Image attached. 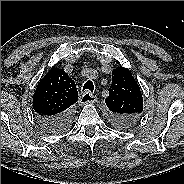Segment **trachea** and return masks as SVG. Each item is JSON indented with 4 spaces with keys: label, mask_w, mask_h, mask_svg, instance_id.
I'll list each match as a JSON object with an SVG mask.
<instances>
[{
    "label": "trachea",
    "mask_w": 184,
    "mask_h": 184,
    "mask_svg": "<svg viewBox=\"0 0 184 184\" xmlns=\"http://www.w3.org/2000/svg\"><path fill=\"white\" fill-rule=\"evenodd\" d=\"M83 90H90L91 92H93L94 90V85H93V82L88 80L84 86H83Z\"/></svg>",
    "instance_id": "obj_1"
}]
</instances>
